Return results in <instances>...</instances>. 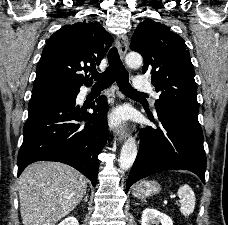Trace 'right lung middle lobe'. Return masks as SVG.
Segmentation results:
<instances>
[{
	"mask_svg": "<svg viewBox=\"0 0 228 225\" xmlns=\"http://www.w3.org/2000/svg\"><path fill=\"white\" fill-rule=\"evenodd\" d=\"M77 89H72L68 87L50 85V86H41L32 89L31 100L48 97L57 94H66V93H75Z\"/></svg>",
	"mask_w": 228,
	"mask_h": 225,
	"instance_id": "dd1d6c3e",
	"label": "right lung middle lobe"
}]
</instances>
